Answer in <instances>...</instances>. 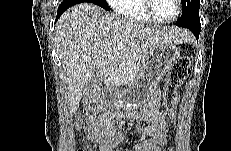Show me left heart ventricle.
Returning a JSON list of instances; mask_svg holds the SVG:
<instances>
[{"mask_svg": "<svg viewBox=\"0 0 231 151\" xmlns=\"http://www.w3.org/2000/svg\"><path fill=\"white\" fill-rule=\"evenodd\" d=\"M154 14L163 20L170 19L176 13V0H152Z\"/></svg>", "mask_w": 231, "mask_h": 151, "instance_id": "obj_1", "label": "left heart ventricle"}]
</instances>
